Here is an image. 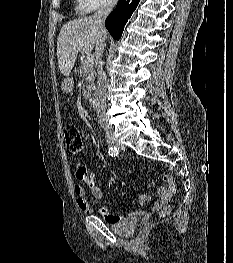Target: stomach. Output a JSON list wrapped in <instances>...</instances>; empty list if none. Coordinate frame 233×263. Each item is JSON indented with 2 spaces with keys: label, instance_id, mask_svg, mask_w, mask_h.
<instances>
[{
  "label": "stomach",
  "instance_id": "1",
  "mask_svg": "<svg viewBox=\"0 0 233 263\" xmlns=\"http://www.w3.org/2000/svg\"><path fill=\"white\" fill-rule=\"evenodd\" d=\"M61 88L63 91H70L72 89L73 83L70 77H63L61 81Z\"/></svg>",
  "mask_w": 233,
  "mask_h": 263
}]
</instances>
